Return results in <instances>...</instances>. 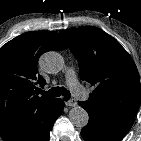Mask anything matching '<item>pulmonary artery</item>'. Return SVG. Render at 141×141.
Here are the masks:
<instances>
[{
  "label": "pulmonary artery",
  "mask_w": 141,
  "mask_h": 141,
  "mask_svg": "<svg viewBox=\"0 0 141 141\" xmlns=\"http://www.w3.org/2000/svg\"><path fill=\"white\" fill-rule=\"evenodd\" d=\"M66 81L71 90L76 94V95H83L84 91L82 87L80 86L79 82L76 79V76L72 70H69L66 74Z\"/></svg>",
  "instance_id": "obj_1"
}]
</instances>
